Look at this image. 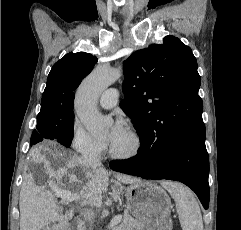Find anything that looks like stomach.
Returning <instances> with one entry per match:
<instances>
[{
	"label": "stomach",
	"mask_w": 241,
	"mask_h": 230,
	"mask_svg": "<svg viewBox=\"0 0 241 230\" xmlns=\"http://www.w3.org/2000/svg\"><path fill=\"white\" fill-rule=\"evenodd\" d=\"M124 192L128 211L142 224L140 230H172V204L163 188L140 180L125 187Z\"/></svg>",
	"instance_id": "stomach-1"
}]
</instances>
